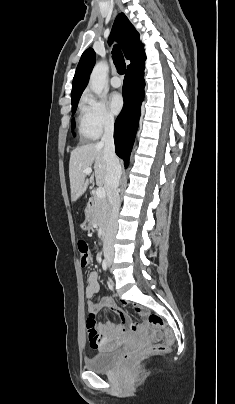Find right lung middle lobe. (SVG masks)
<instances>
[{
  "label": "right lung middle lobe",
  "mask_w": 235,
  "mask_h": 404,
  "mask_svg": "<svg viewBox=\"0 0 235 404\" xmlns=\"http://www.w3.org/2000/svg\"><path fill=\"white\" fill-rule=\"evenodd\" d=\"M71 103H72V114H74L76 112V109H77L78 101L71 102ZM74 125H75V121L72 120V127H74Z\"/></svg>",
  "instance_id": "right-lung-middle-lobe-1"
}]
</instances>
